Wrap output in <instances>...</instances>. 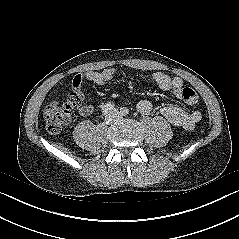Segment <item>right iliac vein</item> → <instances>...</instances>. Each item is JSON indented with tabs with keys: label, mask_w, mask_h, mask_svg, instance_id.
I'll list each match as a JSON object with an SVG mask.
<instances>
[{
	"label": "right iliac vein",
	"mask_w": 239,
	"mask_h": 239,
	"mask_svg": "<svg viewBox=\"0 0 239 239\" xmlns=\"http://www.w3.org/2000/svg\"><path fill=\"white\" fill-rule=\"evenodd\" d=\"M115 121V117L112 113H109L105 116V122L107 124H112Z\"/></svg>",
	"instance_id": "63e3f726"
}]
</instances>
